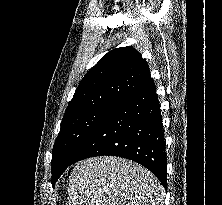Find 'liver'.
I'll list each match as a JSON object with an SVG mask.
<instances>
[{
	"label": "liver",
	"instance_id": "1",
	"mask_svg": "<svg viewBox=\"0 0 222 205\" xmlns=\"http://www.w3.org/2000/svg\"><path fill=\"white\" fill-rule=\"evenodd\" d=\"M69 205H163L164 188L143 166L114 156L79 162L69 179Z\"/></svg>",
	"mask_w": 222,
	"mask_h": 205
}]
</instances>
